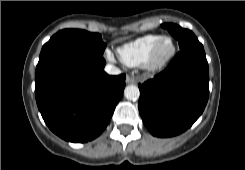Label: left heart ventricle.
<instances>
[{
	"label": "left heart ventricle",
	"instance_id": "left-heart-ventricle-1",
	"mask_svg": "<svg viewBox=\"0 0 245 170\" xmlns=\"http://www.w3.org/2000/svg\"><path fill=\"white\" fill-rule=\"evenodd\" d=\"M169 49V44L168 43H163L160 49V53L163 54Z\"/></svg>",
	"mask_w": 245,
	"mask_h": 170
}]
</instances>
